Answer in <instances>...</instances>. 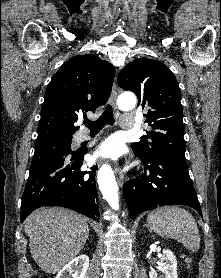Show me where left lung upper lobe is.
Segmentation results:
<instances>
[{
  "instance_id": "left-lung-upper-lobe-1",
  "label": "left lung upper lobe",
  "mask_w": 221,
  "mask_h": 278,
  "mask_svg": "<svg viewBox=\"0 0 221 278\" xmlns=\"http://www.w3.org/2000/svg\"><path fill=\"white\" fill-rule=\"evenodd\" d=\"M118 85L133 91L138 106L147 111L145 122L150 130L139 142L131 144L136 155L152 159L164 151H185L179 85L162 62L147 58L130 62L118 74Z\"/></svg>"
}]
</instances>
